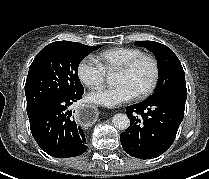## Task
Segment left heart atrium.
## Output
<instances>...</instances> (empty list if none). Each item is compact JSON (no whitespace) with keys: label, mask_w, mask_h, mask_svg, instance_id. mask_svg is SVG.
Instances as JSON below:
<instances>
[{"label":"left heart atrium","mask_w":209,"mask_h":179,"mask_svg":"<svg viewBox=\"0 0 209 179\" xmlns=\"http://www.w3.org/2000/svg\"><path fill=\"white\" fill-rule=\"evenodd\" d=\"M136 94L125 84H119L111 88L94 91L88 95L92 103L114 107L132 100Z\"/></svg>","instance_id":"1"}]
</instances>
